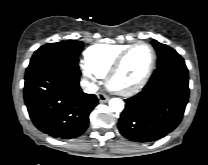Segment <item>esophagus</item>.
Returning a JSON list of instances; mask_svg holds the SVG:
<instances>
[{
  "label": "esophagus",
  "instance_id": "obj_1",
  "mask_svg": "<svg viewBox=\"0 0 208 165\" xmlns=\"http://www.w3.org/2000/svg\"><path fill=\"white\" fill-rule=\"evenodd\" d=\"M97 97H98L100 103H106V102L109 101V96H107V95H105L103 93H98Z\"/></svg>",
  "mask_w": 208,
  "mask_h": 165
}]
</instances>
